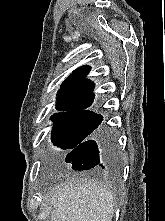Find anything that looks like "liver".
Here are the masks:
<instances>
[{
    "label": "liver",
    "mask_w": 165,
    "mask_h": 221,
    "mask_svg": "<svg viewBox=\"0 0 165 221\" xmlns=\"http://www.w3.org/2000/svg\"><path fill=\"white\" fill-rule=\"evenodd\" d=\"M51 221H112L114 195L103 184L65 181L51 195Z\"/></svg>",
    "instance_id": "1"
}]
</instances>
